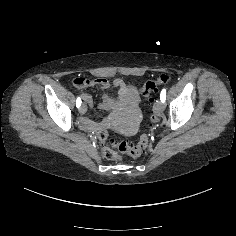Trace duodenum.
Wrapping results in <instances>:
<instances>
[{
	"label": "duodenum",
	"instance_id": "1",
	"mask_svg": "<svg viewBox=\"0 0 236 236\" xmlns=\"http://www.w3.org/2000/svg\"><path fill=\"white\" fill-rule=\"evenodd\" d=\"M119 86L121 87V89L119 91L117 101L106 98L103 104L105 108L117 109L120 107H124L128 102L132 100V93H133L132 90L130 88H127L123 83H120ZM81 123L82 126L87 130H94L100 126L99 124L88 119H83Z\"/></svg>",
	"mask_w": 236,
	"mask_h": 236
}]
</instances>
